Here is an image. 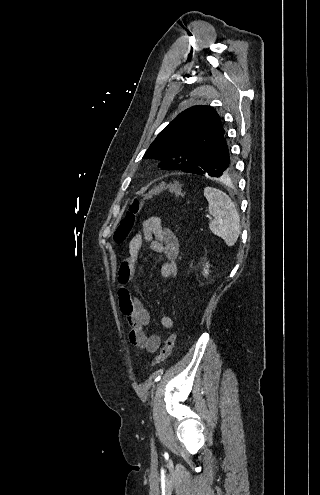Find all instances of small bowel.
Listing matches in <instances>:
<instances>
[{
    "instance_id": "c3829d8e",
    "label": "small bowel",
    "mask_w": 320,
    "mask_h": 495,
    "mask_svg": "<svg viewBox=\"0 0 320 495\" xmlns=\"http://www.w3.org/2000/svg\"><path fill=\"white\" fill-rule=\"evenodd\" d=\"M144 243L159 254H163L165 262L161 265L160 272L163 278H171L177 273V257L179 254V243L174 232L163 226L159 217L146 218L139 231L130 240L128 257L119 268L118 279L120 283H127L140 265V252ZM119 302L122 313L129 325V339L139 354L154 353L161 345V337L150 334L147 329L151 325L149 311L137 296L128 290L119 291ZM161 325L166 329L174 326V321L169 316L161 318Z\"/></svg>"
}]
</instances>
